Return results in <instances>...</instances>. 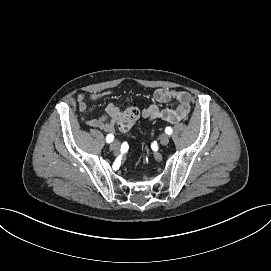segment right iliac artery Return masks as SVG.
Returning <instances> with one entry per match:
<instances>
[{
    "label": "right iliac artery",
    "mask_w": 271,
    "mask_h": 271,
    "mask_svg": "<svg viewBox=\"0 0 271 271\" xmlns=\"http://www.w3.org/2000/svg\"><path fill=\"white\" fill-rule=\"evenodd\" d=\"M113 139H114V136H113L112 134H109V135H107V137H106L107 143H111V142L113 141Z\"/></svg>",
    "instance_id": "right-iliac-artery-1"
}]
</instances>
